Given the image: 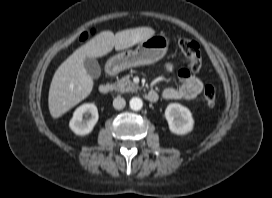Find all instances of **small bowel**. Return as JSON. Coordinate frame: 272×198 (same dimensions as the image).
Masks as SVG:
<instances>
[{"label": "small bowel", "instance_id": "1", "mask_svg": "<svg viewBox=\"0 0 272 198\" xmlns=\"http://www.w3.org/2000/svg\"><path fill=\"white\" fill-rule=\"evenodd\" d=\"M165 69L173 71L175 69L174 64L166 63ZM180 79L179 87H170L162 91V98L165 100H192L195 99L203 90L204 84L201 79L193 76L190 72L184 68H180L177 71Z\"/></svg>", "mask_w": 272, "mask_h": 198}]
</instances>
